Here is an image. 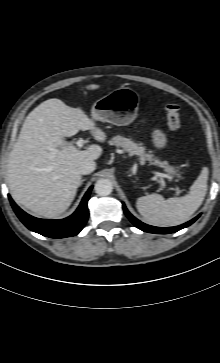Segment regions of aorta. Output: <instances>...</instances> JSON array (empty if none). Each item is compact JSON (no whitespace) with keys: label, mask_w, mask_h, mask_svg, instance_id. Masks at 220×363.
Wrapping results in <instances>:
<instances>
[{"label":"aorta","mask_w":220,"mask_h":363,"mask_svg":"<svg viewBox=\"0 0 220 363\" xmlns=\"http://www.w3.org/2000/svg\"><path fill=\"white\" fill-rule=\"evenodd\" d=\"M94 189L99 196H107L112 192L113 185L109 179L101 178L95 183Z\"/></svg>","instance_id":"762f6f07"}]
</instances>
